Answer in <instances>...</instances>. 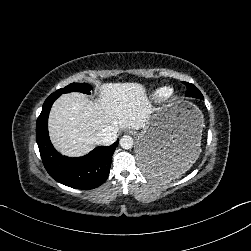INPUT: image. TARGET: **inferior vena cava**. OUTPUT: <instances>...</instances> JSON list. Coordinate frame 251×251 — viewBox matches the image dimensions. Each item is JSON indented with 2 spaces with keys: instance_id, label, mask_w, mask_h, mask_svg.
I'll return each instance as SVG.
<instances>
[{
  "instance_id": "inferior-vena-cava-1",
  "label": "inferior vena cava",
  "mask_w": 251,
  "mask_h": 251,
  "mask_svg": "<svg viewBox=\"0 0 251 251\" xmlns=\"http://www.w3.org/2000/svg\"><path fill=\"white\" fill-rule=\"evenodd\" d=\"M119 128L117 126H107L97 133V140L102 145H111L117 139V132Z\"/></svg>"
}]
</instances>
